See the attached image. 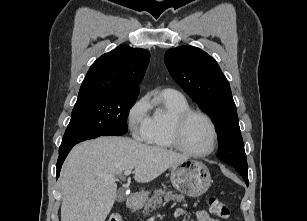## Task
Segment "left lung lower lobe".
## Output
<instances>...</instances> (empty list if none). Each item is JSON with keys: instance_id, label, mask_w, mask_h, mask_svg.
I'll list each match as a JSON object with an SVG mask.
<instances>
[{"instance_id": "left-lung-lower-lobe-1", "label": "left lung lower lobe", "mask_w": 307, "mask_h": 221, "mask_svg": "<svg viewBox=\"0 0 307 221\" xmlns=\"http://www.w3.org/2000/svg\"><path fill=\"white\" fill-rule=\"evenodd\" d=\"M244 179V181L246 182V185L248 186L249 182H248V172H243L241 170L235 169Z\"/></svg>"}]
</instances>
